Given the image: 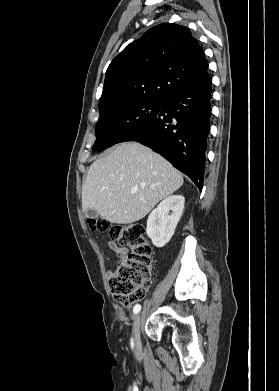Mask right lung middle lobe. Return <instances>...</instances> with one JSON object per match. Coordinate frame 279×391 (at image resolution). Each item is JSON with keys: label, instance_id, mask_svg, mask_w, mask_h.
<instances>
[{"label": "right lung middle lobe", "instance_id": "dd1d6c3e", "mask_svg": "<svg viewBox=\"0 0 279 391\" xmlns=\"http://www.w3.org/2000/svg\"><path fill=\"white\" fill-rule=\"evenodd\" d=\"M164 102L134 101L100 113L96 124L94 151H101L119 143L133 129L152 121Z\"/></svg>", "mask_w": 279, "mask_h": 391}]
</instances>
